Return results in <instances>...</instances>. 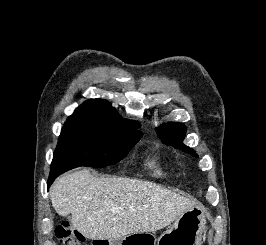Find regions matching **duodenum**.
<instances>
[{"label":"duodenum","instance_id":"obj_1","mask_svg":"<svg viewBox=\"0 0 266 245\" xmlns=\"http://www.w3.org/2000/svg\"><path fill=\"white\" fill-rule=\"evenodd\" d=\"M113 237H93V245H110Z\"/></svg>","mask_w":266,"mask_h":245}]
</instances>
